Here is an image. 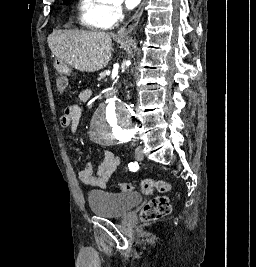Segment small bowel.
<instances>
[{"mask_svg":"<svg viewBox=\"0 0 256 267\" xmlns=\"http://www.w3.org/2000/svg\"><path fill=\"white\" fill-rule=\"evenodd\" d=\"M91 89H84L79 93V99L87 102L91 99ZM80 108L77 105L68 106L60 118V125L71 128L75 132L78 128ZM120 164V158L111 150L104 152V159L95 170L92 163L88 162L78 173L79 179L87 186L104 188L114 171Z\"/></svg>","mask_w":256,"mask_h":267,"instance_id":"obj_1","label":"small bowel"}]
</instances>
